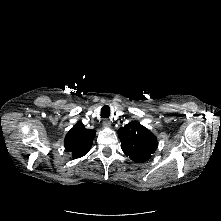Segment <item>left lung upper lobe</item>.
Wrapping results in <instances>:
<instances>
[{
    "label": "left lung upper lobe",
    "mask_w": 221,
    "mask_h": 221,
    "mask_svg": "<svg viewBox=\"0 0 221 221\" xmlns=\"http://www.w3.org/2000/svg\"><path fill=\"white\" fill-rule=\"evenodd\" d=\"M123 152L137 163L151 158L157 148V139L147 128L136 121L118 130Z\"/></svg>",
    "instance_id": "1"
}]
</instances>
